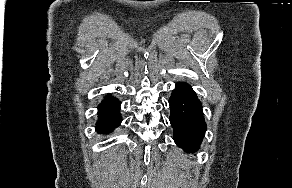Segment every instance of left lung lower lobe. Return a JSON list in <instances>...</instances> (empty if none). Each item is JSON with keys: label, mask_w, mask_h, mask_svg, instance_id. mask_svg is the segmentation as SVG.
I'll return each instance as SVG.
<instances>
[{"label": "left lung lower lobe", "mask_w": 292, "mask_h": 188, "mask_svg": "<svg viewBox=\"0 0 292 188\" xmlns=\"http://www.w3.org/2000/svg\"><path fill=\"white\" fill-rule=\"evenodd\" d=\"M169 105L175 143L187 153L197 151L205 135L206 124L201 103L192 88L186 83L176 84Z\"/></svg>", "instance_id": "obj_1"}]
</instances>
